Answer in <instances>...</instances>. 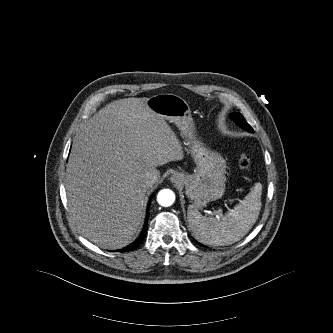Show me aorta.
Returning a JSON list of instances; mask_svg holds the SVG:
<instances>
[{
    "instance_id": "1",
    "label": "aorta",
    "mask_w": 333,
    "mask_h": 333,
    "mask_svg": "<svg viewBox=\"0 0 333 333\" xmlns=\"http://www.w3.org/2000/svg\"><path fill=\"white\" fill-rule=\"evenodd\" d=\"M157 201L163 207L171 206L175 201V194L170 189H163L158 193Z\"/></svg>"
}]
</instances>
